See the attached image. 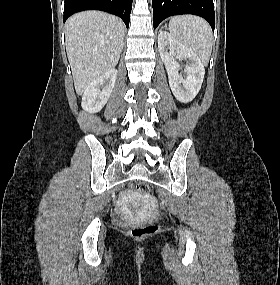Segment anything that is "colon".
<instances>
[{
	"label": "colon",
	"mask_w": 280,
	"mask_h": 285,
	"mask_svg": "<svg viewBox=\"0 0 280 285\" xmlns=\"http://www.w3.org/2000/svg\"><path fill=\"white\" fill-rule=\"evenodd\" d=\"M136 190L141 192H147L149 190V186L146 183L141 182L136 185ZM157 228L158 226L156 223L136 225L132 227V229L130 230V234L135 239H142L154 233Z\"/></svg>",
	"instance_id": "obj_1"
}]
</instances>
